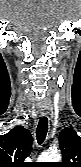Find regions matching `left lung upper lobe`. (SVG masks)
<instances>
[{"label": "left lung upper lobe", "mask_w": 81, "mask_h": 167, "mask_svg": "<svg viewBox=\"0 0 81 167\" xmlns=\"http://www.w3.org/2000/svg\"><path fill=\"white\" fill-rule=\"evenodd\" d=\"M63 162L58 167H81V137L71 129H63L59 137Z\"/></svg>", "instance_id": "left-lung-upper-lobe-1"}]
</instances>
